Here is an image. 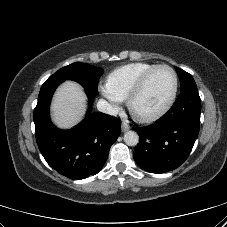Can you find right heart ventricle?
Listing matches in <instances>:
<instances>
[{"label":"right heart ventricle","instance_id":"e07e8e85","mask_svg":"<svg viewBox=\"0 0 227 227\" xmlns=\"http://www.w3.org/2000/svg\"><path fill=\"white\" fill-rule=\"evenodd\" d=\"M157 64L135 62L114 69L107 77V86L121 100H126L140 77Z\"/></svg>","mask_w":227,"mask_h":227}]
</instances>
